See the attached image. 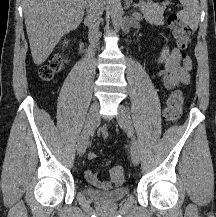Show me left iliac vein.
<instances>
[{
    "instance_id": "left-iliac-vein-1",
    "label": "left iliac vein",
    "mask_w": 216,
    "mask_h": 217,
    "mask_svg": "<svg viewBox=\"0 0 216 217\" xmlns=\"http://www.w3.org/2000/svg\"><path fill=\"white\" fill-rule=\"evenodd\" d=\"M117 122L120 125V127L127 131L130 134V136H132V138L134 139L133 124L129 110L122 104L119 105L118 108ZM130 154L133 164L138 165L140 162V148L135 139L132 143Z\"/></svg>"
}]
</instances>
